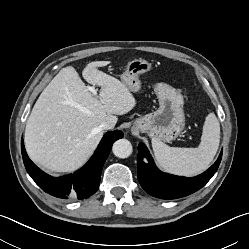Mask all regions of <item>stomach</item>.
<instances>
[{
	"instance_id": "obj_1",
	"label": "stomach",
	"mask_w": 249,
	"mask_h": 249,
	"mask_svg": "<svg viewBox=\"0 0 249 249\" xmlns=\"http://www.w3.org/2000/svg\"><path fill=\"white\" fill-rule=\"evenodd\" d=\"M151 69L152 64L147 60L133 59L124 68L122 82L129 91H138L141 87L139 76ZM154 91L159 108L137 118L133 123L132 132H144L152 138L170 142L176 139L185 127L184 99L178 90L165 83L155 84Z\"/></svg>"
}]
</instances>
